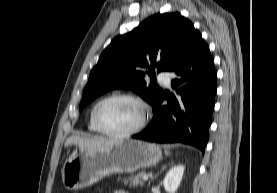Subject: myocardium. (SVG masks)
<instances>
[{
	"label": "myocardium",
	"mask_w": 277,
	"mask_h": 193,
	"mask_svg": "<svg viewBox=\"0 0 277 193\" xmlns=\"http://www.w3.org/2000/svg\"><path fill=\"white\" fill-rule=\"evenodd\" d=\"M115 99L131 100V101L136 102L141 107V109H142L141 119L135 127L131 128L129 130H126V131H122V132H113V131H109V130L105 129L100 124V122L98 120V116H97L99 107L103 103L110 101V100H115ZM149 115H150V107H149L148 103L140 96L132 94V93H117V94H112V95L106 96V97L100 99L93 106L92 111H91V119H92V122H93L94 126L96 127V129L104 135L116 137V138H126V137L132 136V135L137 134L140 131H142L148 122Z\"/></svg>",
	"instance_id": "obj_1"
}]
</instances>
